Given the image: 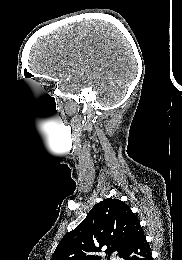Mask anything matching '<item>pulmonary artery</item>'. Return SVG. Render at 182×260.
<instances>
[{"label":"pulmonary artery","instance_id":"obj_1","mask_svg":"<svg viewBox=\"0 0 182 260\" xmlns=\"http://www.w3.org/2000/svg\"><path fill=\"white\" fill-rule=\"evenodd\" d=\"M112 260H121V259H119V258L115 257V258H113Z\"/></svg>","mask_w":182,"mask_h":260}]
</instances>
